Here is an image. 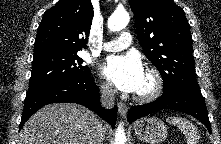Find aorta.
Masks as SVG:
<instances>
[{
  "instance_id": "1",
  "label": "aorta",
  "mask_w": 221,
  "mask_h": 144,
  "mask_svg": "<svg viewBox=\"0 0 221 144\" xmlns=\"http://www.w3.org/2000/svg\"><path fill=\"white\" fill-rule=\"evenodd\" d=\"M130 20L129 13L127 11L114 12L108 19V28L110 31L116 32L124 29ZM114 144H126V134L123 124H119L115 132Z\"/></svg>"
}]
</instances>
